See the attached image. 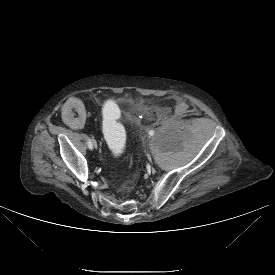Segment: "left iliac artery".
<instances>
[{"instance_id":"44dca946","label":"left iliac artery","mask_w":275,"mask_h":275,"mask_svg":"<svg viewBox=\"0 0 275 275\" xmlns=\"http://www.w3.org/2000/svg\"><path fill=\"white\" fill-rule=\"evenodd\" d=\"M149 135H150V136H153V135H154V131H153V130H150V131H149Z\"/></svg>"}]
</instances>
